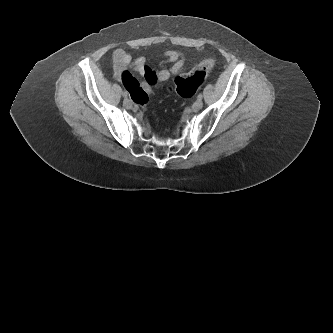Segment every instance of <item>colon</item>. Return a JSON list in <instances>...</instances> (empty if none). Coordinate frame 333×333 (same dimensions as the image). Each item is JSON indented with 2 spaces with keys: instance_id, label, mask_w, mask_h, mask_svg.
Wrapping results in <instances>:
<instances>
[{
  "instance_id": "1",
  "label": "colon",
  "mask_w": 333,
  "mask_h": 333,
  "mask_svg": "<svg viewBox=\"0 0 333 333\" xmlns=\"http://www.w3.org/2000/svg\"><path fill=\"white\" fill-rule=\"evenodd\" d=\"M215 61L207 59L197 65L188 75H181L174 79L170 91H175L184 98L193 96L206 79L208 72L214 67Z\"/></svg>"
}]
</instances>
